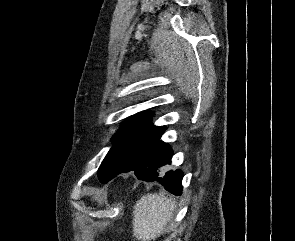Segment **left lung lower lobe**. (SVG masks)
<instances>
[{
    "label": "left lung lower lobe",
    "instance_id": "1",
    "mask_svg": "<svg viewBox=\"0 0 295 241\" xmlns=\"http://www.w3.org/2000/svg\"><path fill=\"white\" fill-rule=\"evenodd\" d=\"M172 154L170 146L158 139L140 156L125 165L116 175L133 171L139 180L160 182L169 192L181 195L182 172L180 170L162 172L164 165L171 164ZM105 183L107 182H103V184Z\"/></svg>",
    "mask_w": 295,
    "mask_h": 241
}]
</instances>
